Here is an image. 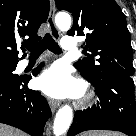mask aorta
I'll use <instances>...</instances> for the list:
<instances>
[{"mask_svg": "<svg viewBox=\"0 0 136 136\" xmlns=\"http://www.w3.org/2000/svg\"><path fill=\"white\" fill-rule=\"evenodd\" d=\"M55 23L61 30H68L71 27V17L69 14L60 12L55 17ZM73 118V111L69 105L63 106L56 114L54 120L53 133L55 136H61L64 134Z\"/></svg>", "mask_w": 136, "mask_h": 136, "instance_id": "762f6f07", "label": "aorta"}]
</instances>
